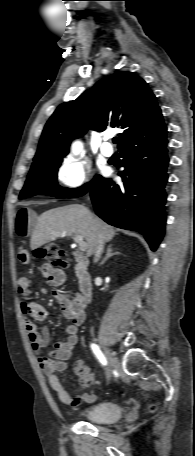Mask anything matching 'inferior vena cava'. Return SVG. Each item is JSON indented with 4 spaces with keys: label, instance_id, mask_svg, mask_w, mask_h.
Here are the masks:
<instances>
[{
    "label": "inferior vena cava",
    "instance_id": "inferior-vena-cava-1",
    "mask_svg": "<svg viewBox=\"0 0 195 456\" xmlns=\"http://www.w3.org/2000/svg\"><path fill=\"white\" fill-rule=\"evenodd\" d=\"M103 248H104V241L102 240V237L99 234L97 244L95 247V252H94L95 253L94 262H97L100 259L101 254L103 253Z\"/></svg>",
    "mask_w": 195,
    "mask_h": 456
}]
</instances>
